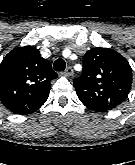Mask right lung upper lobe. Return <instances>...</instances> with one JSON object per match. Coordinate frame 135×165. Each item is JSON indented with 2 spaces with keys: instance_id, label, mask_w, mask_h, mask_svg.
I'll list each match as a JSON object with an SVG mask.
<instances>
[{
  "instance_id": "cb5924a9",
  "label": "right lung upper lobe",
  "mask_w": 135,
  "mask_h": 165,
  "mask_svg": "<svg viewBox=\"0 0 135 165\" xmlns=\"http://www.w3.org/2000/svg\"><path fill=\"white\" fill-rule=\"evenodd\" d=\"M56 77L39 50L17 47L0 64V100L13 113L34 112L48 99L51 81Z\"/></svg>"
}]
</instances>
